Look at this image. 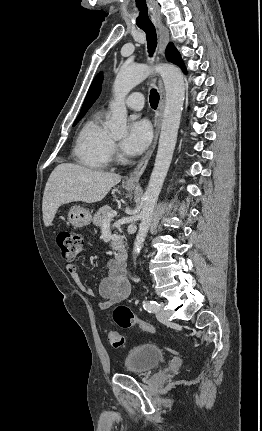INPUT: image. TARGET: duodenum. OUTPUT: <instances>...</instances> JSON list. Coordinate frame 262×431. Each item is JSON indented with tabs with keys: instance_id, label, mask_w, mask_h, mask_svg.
I'll return each instance as SVG.
<instances>
[{
	"instance_id": "1",
	"label": "duodenum",
	"mask_w": 262,
	"mask_h": 431,
	"mask_svg": "<svg viewBox=\"0 0 262 431\" xmlns=\"http://www.w3.org/2000/svg\"><path fill=\"white\" fill-rule=\"evenodd\" d=\"M119 259L124 263H127L128 253L125 250H122L121 252H119Z\"/></svg>"
}]
</instances>
